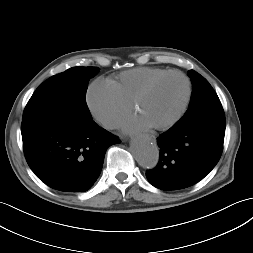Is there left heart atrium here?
<instances>
[{"label": "left heart atrium", "instance_id": "obj_1", "mask_svg": "<svg viewBox=\"0 0 253 253\" xmlns=\"http://www.w3.org/2000/svg\"><path fill=\"white\" fill-rule=\"evenodd\" d=\"M122 127L127 132L137 131L145 128L151 127V124L148 123L143 117L138 114L127 119L123 122Z\"/></svg>", "mask_w": 253, "mask_h": 253}]
</instances>
